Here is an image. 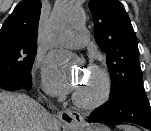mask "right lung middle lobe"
I'll return each instance as SVG.
<instances>
[{
  "instance_id": "1",
  "label": "right lung middle lobe",
  "mask_w": 151,
  "mask_h": 131,
  "mask_svg": "<svg viewBox=\"0 0 151 131\" xmlns=\"http://www.w3.org/2000/svg\"><path fill=\"white\" fill-rule=\"evenodd\" d=\"M36 51L19 43H11L0 49V87L5 90L21 89L31 78L30 71Z\"/></svg>"
}]
</instances>
